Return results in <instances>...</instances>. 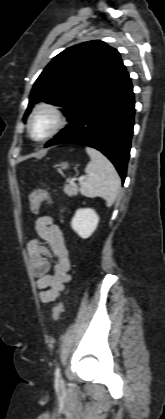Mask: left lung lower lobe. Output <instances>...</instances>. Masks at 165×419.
Here are the masks:
<instances>
[{"mask_svg":"<svg viewBox=\"0 0 165 419\" xmlns=\"http://www.w3.org/2000/svg\"><path fill=\"white\" fill-rule=\"evenodd\" d=\"M135 101L126 69L111 80L69 119L70 123L45 148L74 143L101 151L126 177L134 126Z\"/></svg>","mask_w":165,"mask_h":419,"instance_id":"1","label":"left lung lower lobe"}]
</instances>
